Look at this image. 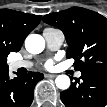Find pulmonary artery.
Instances as JSON below:
<instances>
[{"instance_id":"e3ab8cb5","label":"pulmonary artery","mask_w":107,"mask_h":107,"mask_svg":"<svg viewBox=\"0 0 107 107\" xmlns=\"http://www.w3.org/2000/svg\"><path fill=\"white\" fill-rule=\"evenodd\" d=\"M43 36L45 38L47 47L55 51L61 47L64 41V35L60 30L53 29V28H47L43 32ZM32 62L25 61V60H18L11 63V68L13 70H17L19 68H30L32 67ZM77 77L81 76V72L76 73Z\"/></svg>"}]
</instances>
